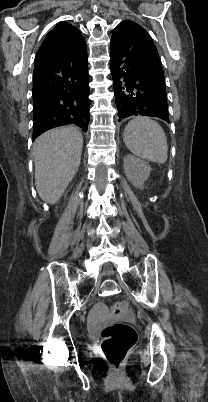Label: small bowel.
I'll list each match as a JSON object with an SVG mask.
<instances>
[{"instance_id": "obj_1", "label": "small bowel", "mask_w": 208, "mask_h": 402, "mask_svg": "<svg viewBox=\"0 0 208 402\" xmlns=\"http://www.w3.org/2000/svg\"><path fill=\"white\" fill-rule=\"evenodd\" d=\"M109 312L106 309H88L86 311V316L89 318L90 324L89 327L92 330H99L101 328V324H104L107 321V316Z\"/></svg>"}]
</instances>
